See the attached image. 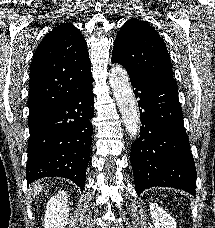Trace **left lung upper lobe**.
Here are the masks:
<instances>
[{"label":"left lung upper lobe","mask_w":215,"mask_h":228,"mask_svg":"<svg viewBox=\"0 0 215 228\" xmlns=\"http://www.w3.org/2000/svg\"><path fill=\"white\" fill-rule=\"evenodd\" d=\"M113 63L122 64L129 76L173 78L170 56L160 35L148 23L130 19L114 41Z\"/></svg>","instance_id":"left-lung-upper-lobe-1"}]
</instances>
